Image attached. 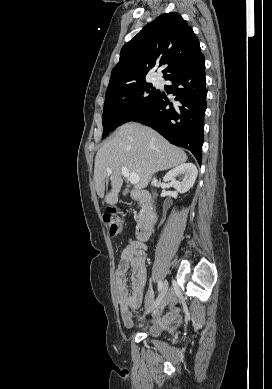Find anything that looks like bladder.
Wrapping results in <instances>:
<instances>
[{
	"instance_id": "31cf9c89",
	"label": "bladder",
	"mask_w": 272,
	"mask_h": 389,
	"mask_svg": "<svg viewBox=\"0 0 272 389\" xmlns=\"http://www.w3.org/2000/svg\"><path fill=\"white\" fill-rule=\"evenodd\" d=\"M162 333H163L162 330H160L159 328H154V329L152 330V334H153L154 336H160Z\"/></svg>"
}]
</instances>
